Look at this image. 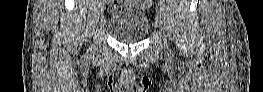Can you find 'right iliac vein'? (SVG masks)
Returning <instances> with one entry per match:
<instances>
[{
    "instance_id": "right-iliac-vein-1",
    "label": "right iliac vein",
    "mask_w": 263,
    "mask_h": 92,
    "mask_svg": "<svg viewBox=\"0 0 263 92\" xmlns=\"http://www.w3.org/2000/svg\"><path fill=\"white\" fill-rule=\"evenodd\" d=\"M97 15L100 16L103 14V6H106V0H101L98 2Z\"/></svg>"
}]
</instances>
